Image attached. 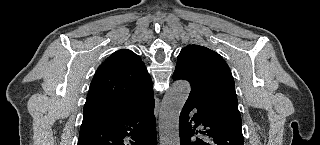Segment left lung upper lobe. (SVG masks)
Returning <instances> with one entry per match:
<instances>
[{
	"instance_id": "1",
	"label": "left lung upper lobe",
	"mask_w": 320,
	"mask_h": 145,
	"mask_svg": "<svg viewBox=\"0 0 320 145\" xmlns=\"http://www.w3.org/2000/svg\"><path fill=\"white\" fill-rule=\"evenodd\" d=\"M175 69L182 70L204 85L205 93L202 95L213 113L241 125L233 76L218 53L204 46L188 45L178 55Z\"/></svg>"
}]
</instances>
